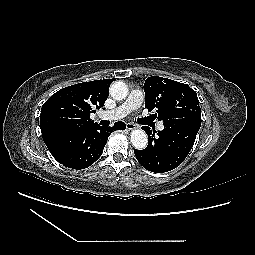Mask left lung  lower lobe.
<instances>
[{"label": "left lung lower lobe", "mask_w": 255, "mask_h": 255, "mask_svg": "<svg viewBox=\"0 0 255 255\" xmlns=\"http://www.w3.org/2000/svg\"><path fill=\"white\" fill-rule=\"evenodd\" d=\"M163 125L162 131L153 133L148 126H143L148 146L134 151L138 162L151 172L163 173L178 167L192 149L201 123Z\"/></svg>", "instance_id": "0a47b994"}]
</instances>
